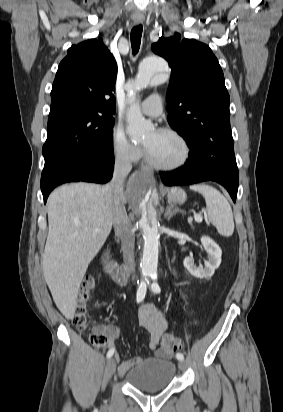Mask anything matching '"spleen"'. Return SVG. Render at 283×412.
<instances>
[{"mask_svg":"<svg viewBox=\"0 0 283 412\" xmlns=\"http://www.w3.org/2000/svg\"><path fill=\"white\" fill-rule=\"evenodd\" d=\"M190 189L201 193L205 198L209 221L218 233L230 237L234 232V219L227 199L217 189L208 185H193Z\"/></svg>","mask_w":283,"mask_h":412,"instance_id":"1","label":"spleen"}]
</instances>
